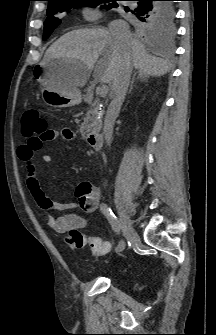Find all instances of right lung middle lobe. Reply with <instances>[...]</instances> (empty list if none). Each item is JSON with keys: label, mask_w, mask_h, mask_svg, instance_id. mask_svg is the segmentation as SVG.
Listing matches in <instances>:
<instances>
[{"label": "right lung middle lobe", "mask_w": 216, "mask_h": 335, "mask_svg": "<svg viewBox=\"0 0 216 335\" xmlns=\"http://www.w3.org/2000/svg\"><path fill=\"white\" fill-rule=\"evenodd\" d=\"M117 1L118 0H63L49 4L47 9L48 17L44 23V35H43L44 40H46L51 35L53 30L61 23V20L58 18L59 13L67 12L72 8H78L83 6L96 7L103 3H105L103 7L111 9L113 7L118 6ZM161 6L166 9H172L173 3L164 2L161 4ZM126 12H128L127 14L128 18L137 24L138 19L133 10L127 7ZM137 26L141 28L143 31L152 34L172 35L175 31L174 24L167 25L159 21H152L144 25L137 24Z\"/></svg>", "instance_id": "dd1d6c3e"}]
</instances>
